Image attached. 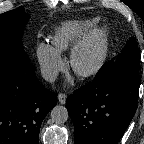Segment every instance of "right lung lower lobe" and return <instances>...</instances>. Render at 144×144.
<instances>
[{
  "label": "right lung lower lobe",
  "mask_w": 144,
  "mask_h": 144,
  "mask_svg": "<svg viewBox=\"0 0 144 144\" xmlns=\"http://www.w3.org/2000/svg\"><path fill=\"white\" fill-rule=\"evenodd\" d=\"M57 95L12 62H0V144H39L43 119Z\"/></svg>",
  "instance_id": "obj_1"
}]
</instances>
